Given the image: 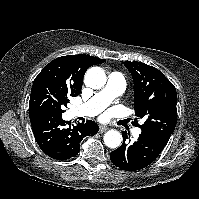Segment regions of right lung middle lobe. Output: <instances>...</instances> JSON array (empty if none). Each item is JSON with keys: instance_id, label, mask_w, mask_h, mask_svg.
Here are the masks:
<instances>
[{"instance_id": "obj_1", "label": "right lung middle lobe", "mask_w": 199, "mask_h": 199, "mask_svg": "<svg viewBox=\"0 0 199 199\" xmlns=\"http://www.w3.org/2000/svg\"><path fill=\"white\" fill-rule=\"evenodd\" d=\"M69 96L61 89L50 85L32 86L29 112L49 110L62 115L64 106L69 102Z\"/></svg>"}]
</instances>
